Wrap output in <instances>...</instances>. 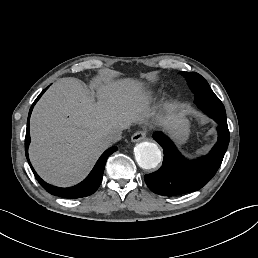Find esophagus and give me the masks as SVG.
<instances>
[{"label":"esophagus","instance_id":"obj_1","mask_svg":"<svg viewBox=\"0 0 258 258\" xmlns=\"http://www.w3.org/2000/svg\"><path fill=\"white\" fill-rule=\"evenodd\" d=\"M146 135H147V132L144 130L137 131L132 135L131 141L134 143L142 141L145 139Z\"/></svg>","mask_w":258,"mask_h":258}]
</instances>
